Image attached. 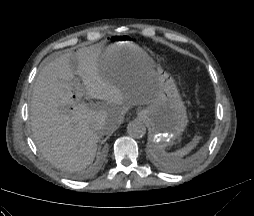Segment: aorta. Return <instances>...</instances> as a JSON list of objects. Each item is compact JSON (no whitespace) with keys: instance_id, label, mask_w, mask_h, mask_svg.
Instances as JSON below:
<instances>
[{"instance_id":"aorta-1","label":"aorta","mask_w":254,"mask_h":216,"mask_svg":"<svg viewBox=\"0 0 254 216\" xmlns=\"http://www.w3.org/2000/svg\"><path fill=\"white\" fill-rule=\"evenodd\" d=\"M127 131L128 134L133 138H142L146 134V127L142 122L133 120L129 122Z\"/></svg>"}]
</instances>
